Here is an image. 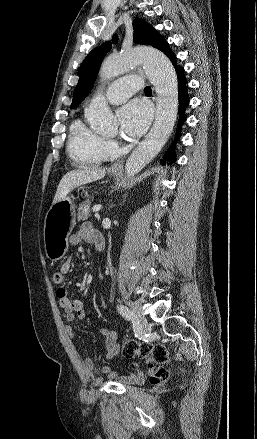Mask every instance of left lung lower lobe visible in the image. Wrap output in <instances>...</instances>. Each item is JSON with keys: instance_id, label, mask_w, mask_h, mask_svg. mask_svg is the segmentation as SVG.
Here are the masks:
<instances>
[{"instance_id": "1", "label": "left lung lower lobe", "mask_w": 257, "mask_h": 439, "mask_svg": "<svg viewBox=\"0 0 257 439\" xmlns=\"http://www.w3.org/2000/svg\"><path fill=\"white\" fill-rule=\"evenodd\" d=\"M165 55L171 60L176 72H177V78H178V89H179V117L180 120L178 122V128L176 133L175 141L172 143V146L168 149V151L165 153L164 158L161 160L163 164H165L166 160L169 161V164L173 163L176 160V155L174 153V147L176 144V141L180 139L181 136V127L184 121L186 120L185 117V109L187 105L189 104V97L187 95V80L184 77V69L177 65L175 54L171 51L169 46L163 51Z\"/></svg>"}]
</instances>
